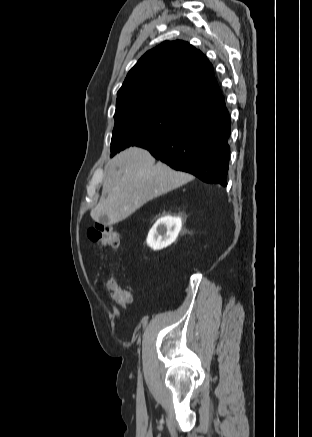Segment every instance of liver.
Returning <instances> with one entry per match:
<instances>
[{
  "label": "liver",
  "mask_w": 312,
  "mask_h": 437,
  "mask_svg": "<svg viewBox=\"0 0 312 437\" xmlns=\"http://www.w3.org/2000/svg\"><path fill=\"white\" fill-rule=\"evenodd\" d=\"M194 177L157 162L145 149L131 147L112 158L106 168L102 196L90 215L96 222L116 224L148 201L162 196Z\"/></svg>",
  "instance_id": "liver-1"
}]
</instances>
